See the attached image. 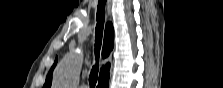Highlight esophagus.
Listing matches in <instances>:
<instances>
[{
    "label": "esophagus",
    "mask_w": 223,
    "mask_h": 88,
    "mask_svg": "<svg viewBox=\"0 0 223 88\" xmlns=\"http://www.w3.org/2000/svg\"><path fill=\"white\" fill-rule=\"evenodd\" d=\"M107 9H108V19H111V1H108L107 3Z\"/></svg>",
    "instance_id": "1"
}]
</instances>
